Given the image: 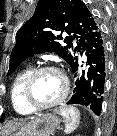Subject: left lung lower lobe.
<instances>
[{"label": "left lung lower lobe", "mask_w": 117, "mask_h": 136, "mask_svg": "<svg viewBox=\"0 0 117 136\" xmlns=\"http://www.w3.org/2000/svg\"><path fill=\"white\" fill-rule=\"evenodd\" d=\"M87 68H82L78 57L71 65L76 82L71 99L67 104L89 107L96 115L101 113L104 85L107 72V49L102 30L94 31L85 40ZM83 48V50H85Z\"/></svg>", "instance_id": "left-lung-lower-lobe-1"}]
</instances>
